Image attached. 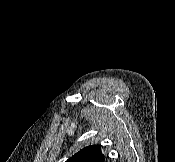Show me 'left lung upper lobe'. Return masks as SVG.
<instances>
[{
  "label": "left lung upper lobe",
  "mask_w": 175,
  "mask_h": 162,
  "mask_svg": "<svg viewBox=\"0 0 175 162\" xmlns=\"http://www.w3.org/2000/svg\"><path fill=\"white\" fill-rule=\"evenodd\" d=\"M66 162H104V155L99 145H90L78 151Z\"/></svg>",
  "instance_id": "obj_1"
}]
</instances>
